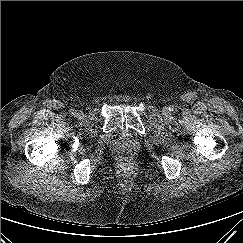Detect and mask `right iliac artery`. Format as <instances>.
I'll return each instance as SVG.
<instances>
[{
	"label": "right iliac artery",
	"mask_w": 243,
	"mask_h": 243,
	"mask_svg": "<svg viewBox=\"0 0 243 243\" xmlns=\"http://www.w3.org/2000/svg\"><path fill=\"white\" fill-rule=\"evenodd\" d=\"M69 112H70V114H72V115H75V113H76V111H75L74 109H71Z\"/></svg>",
	"instance_id": "obj_1"
}]
</instances>
